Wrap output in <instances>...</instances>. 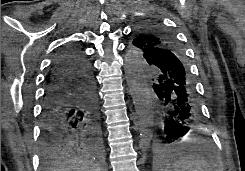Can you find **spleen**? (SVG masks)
Wrapping results in <instances>:
<instances>
[{"label": "spleen", "instance_id": "1", "mask_svg": "<svg viewBox=\"0 0 245 171\" xmlns=\"http://www.w3.org/2000/svg\"><path fill=\"white\" fill-rule=\"evenodd\" d=\"M173 171H213L207 160L200 156L188 154L175 160Z\"/></svg>", "mask_w": 245, "mask_h": 171}]
</instances>
